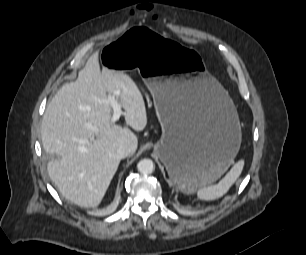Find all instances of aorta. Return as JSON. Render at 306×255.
<instances>
[{
    "label": "aorta",
    "instance_id": "aorta-1",
    "mask_svg": "<svg viewBox=\"0 0 306 255\" xmlns=\"http://www.w3.org/2000/svg\"><path fill=\"white\" fill-rule=\"evenodd\" d=\"M137 169L141 174H151L155 169V165L151 159L145 158L138 162Z\"/></svg>",
    "mask_w": 306,
    "mask_h": 255
}]
</instances>
